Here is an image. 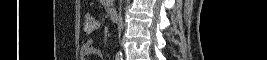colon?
I'll list each match as a JSON object with an SVG mask.
<instances>
[{"label": "colon", "instance_id": "5ec220e1", "mask_svg": "<svg viewBox=\"0 0 267 60\" xmlns=\"http://www.w3.org/2000/svg\"><path fill=\"white\" fill-rule=\"evenodd\" d=\"M99 27V20L96 16L86 13L83 16V31L91 33Z\"/></svg>", "mask_w": 267, "mask_h": 60}]
</instances>
